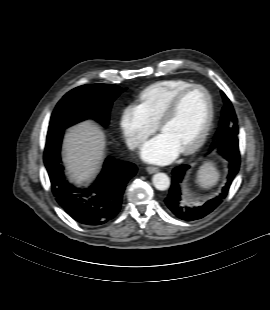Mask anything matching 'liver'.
<instances>
[{
  "label": "liver",
  "mask_w": 270,
  "mask_h": 310,
  "mask_svg": "<svg viewBox=\"0 0 270 310\" xmlns=\"http://www.w3.org/2000/svg\"><path fill=\"white\" fill-rule=\"evenodd\" d=\"M105 146L104 132L93 122L69 128L63 140V159L70 180L77 184L90 182L101 167Z\"/></svg>",
  "instance_id": "6515ba94"
}]
</instances>
